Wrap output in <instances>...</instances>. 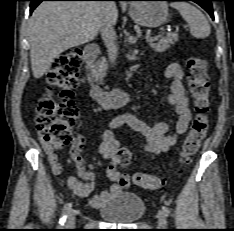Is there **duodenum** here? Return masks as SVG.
<instances>
[{"label": "duodenum", "mask_w": 234, "mask_h": 231, "mask_svg": "<svg viewBox=\"0 0 234 231\" xmlns=\"http://www.w3.org/2000/svg\"><path fill=\"white\" fill-rule=\"evenodd\" d=\"M99 54L97 44H89L85 47L82 60L86 67V77L92 87V97L103 109H113L123 106L132 97L129 90L118 88L111 91H104L95 82L93 64Z\"/></svg>", "instance_id": "duodenum-1"}]
</instances>
